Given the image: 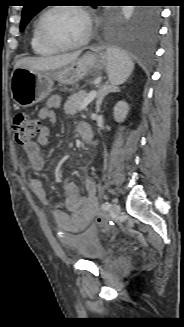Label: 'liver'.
I'll return each mask as SVG.
<instances>
[{
  "label": "liver",
  "instance_id": "liver-1",
  "mask_svg": "<svg viewBox=\"0 0 184 327\" xmlns=\"http://www.w3.org/2000/svg\"><path fill=\"white\" fill-rule=\"evenodd\" d=\"M81 51L52 57H25L15 63L14 69L23 67L35 71H49L60 69L79 57Z\"/></svg>",
  "mask_w": 184,
  "mask_h": 327
}]
</instances>
